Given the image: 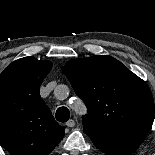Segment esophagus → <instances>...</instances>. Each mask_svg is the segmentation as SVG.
Segmentation results:
<instances>
[{
  "mask_svg": "<svg viewBox=\"0 0 155 155\" xmlns=\"http://www.w3.org/2000/svg\"><path fill=\"white\" fill-rule=\"evenodd\" d=\"M66 125L68 127H74L75 126V121L73 119H70L66 122Z\"/></svg>",
  "mask_w": 155,
  "mask_h": 155,
  "instance_id": "1",
  "label": "esophagus"
}]
</instances>
